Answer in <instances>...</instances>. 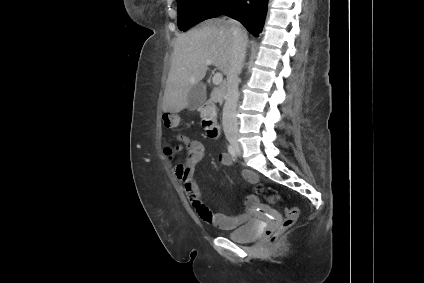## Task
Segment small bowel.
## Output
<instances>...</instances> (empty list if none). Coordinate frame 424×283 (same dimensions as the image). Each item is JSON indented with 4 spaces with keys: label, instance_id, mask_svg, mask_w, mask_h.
<instances>
[{
    "label": "small bowel",
    "instance_id": "obj_1",
    "mask_svg": "<svg viewBox=\"0 0 424 283\" xmlns=\"http://www.w3.org/2000/svg\"><path fill=\"white\" fill-rule=\"evenodd\" d=\"M178 141L185 149V161L174 168V174L184 187L185 194L198 216L206 223L221 229H233L243 224L248 218V211L253 207V199L246 200L245 212L238 215H224L212 212L201 197L196 182V168L204 157L205 148L199 140L188 136H178ZM219 162L231 166L233 161L227 153H220ZM242 176L250 183H257L258 177L251 170H243Z\"/></svg>",
    "mask_w": 424,
    "mask_h": 283
}]
</instances>
